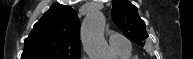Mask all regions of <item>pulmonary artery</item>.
<instances>
[{
	"mask_svg": "<svg viewBox=\"0 0 193 59\" xmlns=\"http://www.w3.org/2000/svg\"><path fill=\"white\" fill-rule=\"evenodd\" d=\"M110 46L115 51H130L131 45L126 41L123 35L115 32H109L108 34Z\"/></svg>",
	"mask_w": 193,
	"mask_h": 59,
	"instance_id": "obj_1",
	"label": "pulmonary artery"
}]
</instances>
